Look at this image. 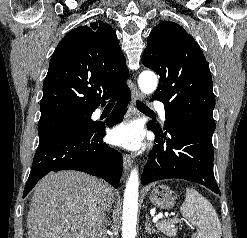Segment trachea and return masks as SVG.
I'll return each mask as SVG.
<instances>
[{
  "instance_id": "3493384b",
  "label": "trachea",
  "mask_w": 247,
  "mask_h": 238,
  "mask_svg": "<svg viewBox=\"0 0 247 238\" xmlns=\"http://www.w3.org/2000/svg\"><path fill=\"white\" fill-rule=\"evenodd\" d=\"M136 105L138 106V108L143 109V110H150L144 103H142L141 101L137 100L136 101Z\"/></svg>"
}]
</instances>
